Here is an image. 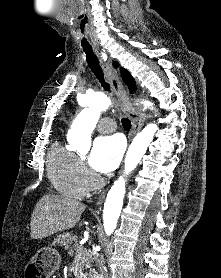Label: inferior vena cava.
Masks as SVG:
<instances>
[{
  "instance_id": "1",
  "label": "inferior vena cava",
  "mask_w": 221,
  "mask_h": 278,
  "mask_svg": "<svg viewBox=\"0 0 221 278\" xmlns=\"http://www.w3.org/2000/svg\"><path fill=\"white\" fill-rule=\"evenodd\" d=\"M95 261H96L98 271L101 275V278H109V274H108L107 268L105 266L104 259L101 256L96 255Z\"/></svg>"
}]
</instances>
